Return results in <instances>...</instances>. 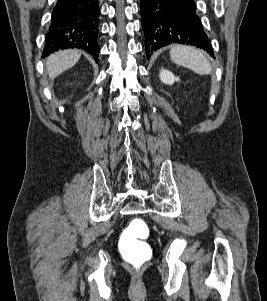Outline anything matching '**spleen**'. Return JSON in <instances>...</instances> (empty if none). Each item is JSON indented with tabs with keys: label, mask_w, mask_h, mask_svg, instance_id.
<instances>
[{
	"label": "spleen",
	"mask_w": 267,
	"mask_h": 301,
	"mask_svg": "<svg viewBox=\"0 0 267 301\" xmlns=\"http://www.w3.org/2000/svg\"><path fill=\"white\" fill-rule=\"evenodd\" d=\"M171 60L199 75L211 74L210 62L203 53L189 46L176 45L170 50Z\"/></svg>",
	"instance_id": "1"
}]
</instances>
